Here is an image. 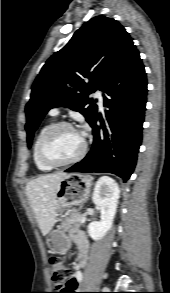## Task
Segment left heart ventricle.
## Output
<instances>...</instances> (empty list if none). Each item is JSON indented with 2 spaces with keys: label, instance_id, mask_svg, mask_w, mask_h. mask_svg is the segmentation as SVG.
I'll list each match as a JSON object with an SVG mask.
<instances>
[{
  "label": "left heart ventricle",
  "instance_id": "b2bd125f",
  "mask_svg": "<svg viewBox=\"0 0 170 293\" xmlns=\"http://www.w3.org/2000/svg\"><path fill=\"white\" fill-rule=\"evenodd\" d=\"M83 146L81 135L70 128L57 130L47 141L46 155L55 161H65L77 155Z\"/></svg>",
  "mask_w": 170,
  "mask_h": 293
}]
</instances>
